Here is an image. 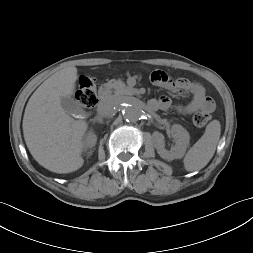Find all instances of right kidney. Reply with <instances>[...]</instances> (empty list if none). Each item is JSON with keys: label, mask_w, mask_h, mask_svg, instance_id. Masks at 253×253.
<instances>
[{"label": "right kidney", "mask_w": 253, "mask_h": 253, "mask_svg": "<svg viewBox=\"0 0 253 253\" xmlns=\"http://www.w3.org/2000/svg\"><path fill=\"white\" fill-rule=\"evenodd\" d=\"M96 142H97L96 134L90 131L85 137L83 148L85 150L90 149L96 145ZM88 153L91 154L92 152L90 151Z\"/></svg>", "instance_id": "obj_1"}]
</instances>
